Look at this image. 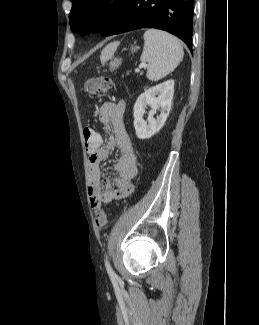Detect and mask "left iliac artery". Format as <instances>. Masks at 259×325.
<instances>
[{"mask_svg": "<svg viewBox=\"0 0 259 325\" xmlns=\"http://www.w3.org/2000/svg\"><path fill=\"white\" fill-rule=\"evenodd\" d=\"M105 266H106V270L110 276L111 280H115L117 279V275L114 272V270L112 269V267L110 266V263L108 262L107 256L105 255Z\"/></svg>", "mask_w": 259, "mask_h": 325, "instance_id": "left-iliac-artery-1", "label": "left iliac artery"}]
</instances>
